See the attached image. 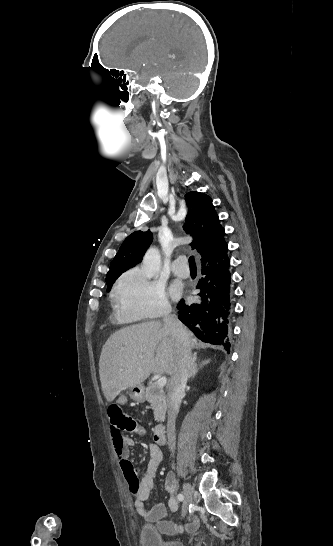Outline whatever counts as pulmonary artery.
<instances>
[{
    "label": "pulmonary artery",
    "instance_id": "e3ab8cb5",
    "mask_svg": "<svg viewBox=\"0 0 333 546\" xmlns=\"http://www.w3.org/2000/svg\"><path fill=\"white\" fill-rule=\"evenodd\" d=\"M172 272L181 278H187L190 275V271L187 265V259L179 257L173 261L171 265Z\"/></svg>",
    "mask_w": 333,
    "mask_h": 546
}]
</instances>
